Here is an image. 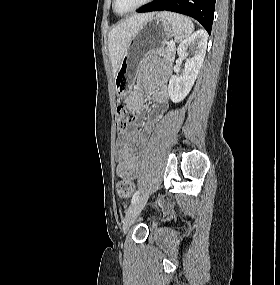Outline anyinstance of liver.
Here are the masks:
<instances>
[{"instance_id":"1","label":"liver","mask_w":280,"mask_h":285,"mask_svg":"<svg viewBox=\"0 0 280 285\" xmlns=\"http://www.w3.org/2000/svg\"><path fill=\"white\" fill-rule=\"evenodd\" d=\"M154 13L137 14L117 24L109 33L108 49L113 67V75L115 76L123 58V55L139 28L150 18Z\"/></svg>"}]
</instances>
